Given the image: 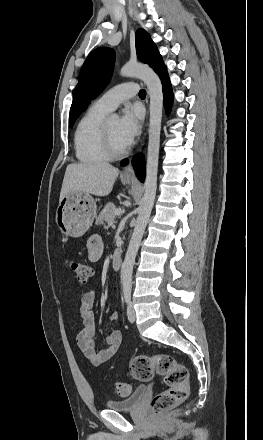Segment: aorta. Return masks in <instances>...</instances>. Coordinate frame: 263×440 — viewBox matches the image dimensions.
I'll list each match as a JSON object with an SVG mask.
<instances>
[{"label":"aorta","mask_w":263,"mask_h":440,"mask_svg":"<svg viewBox=\"0 0 263 440\" xmlns=\"http://www.w3.org/2000/svg\"><path fill=\"white\" fill-rule=\"evenodd\" d=\"M125 77H137L147 85L150 96L149 141L147 150L146 180L136 225L131 236L122 267L123 287L132 286V273L135 258L148 223L157 190V172L160 148V133L163 108V90L159 76L148 66L140 63H127L120 71ZM116 115H112L115 118Z\"/></svg>","instance_id":"1"}]
</instances>
